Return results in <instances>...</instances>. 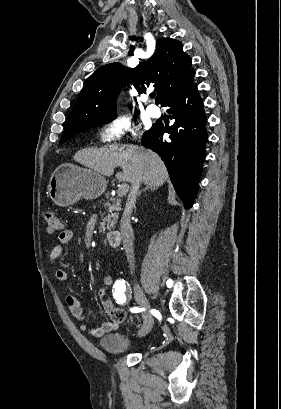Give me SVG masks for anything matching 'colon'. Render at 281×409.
<instances>
[{
	"instance_id": "5ec220e1",
	"label": "colon",
	"mask_w": 281,
	"mask_h": 409,
	"mask_svg": "<svg viewBox=\"0 0 281 409\" xmlns=\"http://www.w3.org/2000/svg\"><path fill=\"white\" fill-rule=\"evenodd\" d=\"M44 217L47 222L48 231L50 233H63L65 231V225L60 215L54 210H46L44 212ZM111 318L118 323L128 322L126 313L122 310L120 306H113L109 310Z\"/></svg>"
}]
</instances>
